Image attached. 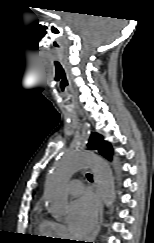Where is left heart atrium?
Returning a JSON list of instances; mask_svg holds the SVG:
<instances>
[{
    "mask_svg": "<svg viewBox=\"0 0 154 243\" xmlns=\"http://www.w3.org/2000/svg\"><path fill=\"white\" fill-rule=\"evenodd\" d=\"M96 216L95 200L86 194L75 200L69 211V226L73 233L83 236L89 233L94 225Z\"/></svg>",
    "mask_w": 154,
    "mask_h": 243,
    "instance_id": "left-heart-atrium-1",
    "label": "left heart atrium"
}]
</instances>
